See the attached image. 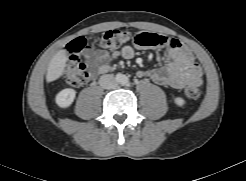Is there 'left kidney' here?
Wrapping results in <instances>:
<instances>
[{
	"label": "left kidney",
	"mask_w": 246,
	"mask_h": 181,
	"mask_svg": "<svg viewBox=\"0 0 246 181\" xmlns=\"http://www.w3.org/2000/svg\"><path fill=\"white\" fill-rule=\"evenodd\" d=\"M174 102H175V104L177 105V106H183L184 104H185V100L183 99V98H181V97H176L175 99H174Z\"/></svg>",
	"instance_id": "left-kidney-1"
}]
</instances>
